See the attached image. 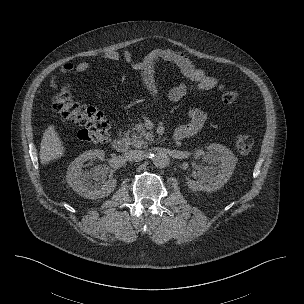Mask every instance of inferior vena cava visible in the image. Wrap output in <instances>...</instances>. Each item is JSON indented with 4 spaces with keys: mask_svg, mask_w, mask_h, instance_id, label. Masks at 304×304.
Segmentation results:
<instances>
[{
    "mask_svg": "<svg viewBox=\"0 0 304 304\" xmlns=\"http://www.w3.org/2000/svg\"><path fill=\"white\" fill-rule=\"evenodd\" d=\"M126 157L130 160H141L143 157L142 150H130L126 153Z\"/></svg>",
    "mask_w": 304,
    "mask_h": 304,
    "instance_id": "inferior-vena-cava-1",
    "label": "inferior vena cava"
}]
</instances>
